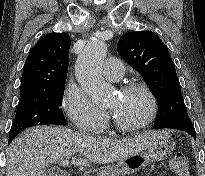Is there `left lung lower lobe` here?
Wrapping results in <instances>:
<instances>
[{"mask_svg": "<svg viewBox=\"0 0 205 176\" xmlns=\"http://www.w3.org/2000/svg\"><path fill=\"white\" fill-rule=\"evenodd\" d=\"M166 128H172V129H178V130H183L189 133L194 139H196V132L194 125L192 124L191 121L187 122H182V123H177L171 126H168Z\"/></svg>", "mask_w": 205, "mask_h": 176, "instance_id": "0a47b994", "label": "left lung lower lobe"}]
</instances>
